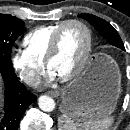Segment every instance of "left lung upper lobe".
<instances>
[{
  "label": "left lung upper lobe",
  "mask_w": 130,
  "mask_h": 130,
  "mask_svg": "<svg viewBox=\"0 0 130 130\" xmlns=\"http://www.w3.org/2000/svg\"><path fill=\"white\" fill-rule=\"evenodd\" d=\"M79 17L93 25L111 45L125 50L118 32L108 22L92 14H80Z\"/></svg>",
  "instance_id": "1"
}]
</instances>
